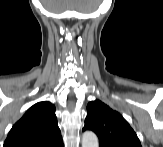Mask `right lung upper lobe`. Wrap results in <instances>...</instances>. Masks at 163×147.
<instances>
[{
  "label": "right lung upper lobe",
  "instance_id": "obj_1",
  "mask_svg": "<svg viewBox=\"0 0 163 147\" xmlns=\"http://www.w3.org/2000/svg\"><path fill=\"white\" fill-rule=\"evenodd\" d=\"M62 144L55 106L43 101L30 107L15 123L3 147H57Z\"/></svg>",
  "mask_w": 163,
  "mask_h": 147
}]
</instances>
